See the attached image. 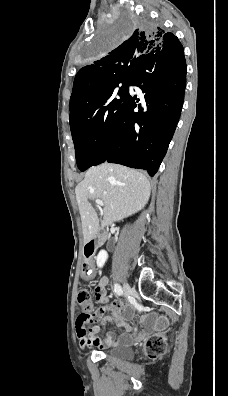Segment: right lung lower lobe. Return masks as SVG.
I'll use <instances>...</instances> for the list:
<instances>
[{"mask_svg": "<svg viewBox=\"0 0 228 396\" xmlns=\"http://www.w3.org/2000/svg\"><path fill=\"white\" fill-rule=\"evenodd\" d=\"M130 85L144 93H129L109 138L104 162L157 172L177 126L186 86L183 47H159L143 58Z\"/></svg>", "mask_w": 228, "mask_h": 396, "instance_id": "obj_1", "label": "right lung lower lobe"}]
</instances>
